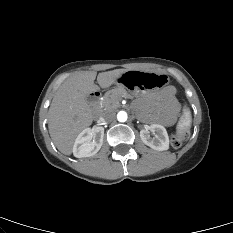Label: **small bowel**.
Returning <instances> with one entry per match:
<instances>
[{
    "label": "small bowel",
    "instance_id": "small-bowel-1",
    "mask_svg": "<svg viewBox=\"0 0 233 233\" xmlns=\"http://www.w3.org/2000/svg\"><path fill=\"white\" fill-rule=\"evenodd\" d=\"M144 100L151 99L149 108L153 111L152 119L165 124L172 123L179 110V104L175 98L173 88L169 87L159 95H143Z\"/></svg>",
    "mask_w": 233,
    "mask_h": 233
}]
</instances>
